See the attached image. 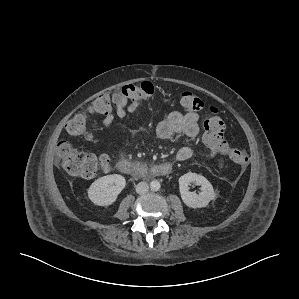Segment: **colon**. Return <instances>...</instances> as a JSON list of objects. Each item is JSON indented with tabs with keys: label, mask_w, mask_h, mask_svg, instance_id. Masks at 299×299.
Listing matches in <instances>:
<instances>
[{
	"label": "colon",
	"mask_w": 299,
	"mask_h": 299,
	"mask_svg": "<svg viewBox=\"0 0 299 299\" xmlns=\"http://www.w3.org/2000/svg\"><path fill=\"white\" fill-rule=\"evenodd\" d=\"M155 88L151 82H139L124 86L121 93L132 101H147L154 94ZM179 106L186 112H199L205 108L204 102L190 91L179 94ZM111 109V98L101 95L94 99L88 112L91 114L105 115ZM203 141L215 157H229L240 167L248 163V155L243 150L229 146L224 139L225 123L218 115V109L214 106L207 107V117L203 123ZM67 132L74 137L90 139L91 134L87 129V115L78 113L66 124ZM58 157L63 170L72 176L90 178L100 172L107 171L110 166L108 156H96L85 153L67 141H61L57 147Z\"/></svg>",
	"instance_id": "1"
}]
</instances>
